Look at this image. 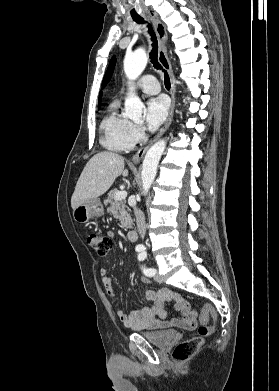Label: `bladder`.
<instances>
[{
  "label": "bladder",
  "mask_w": 279,
  "mask_h": 391,
  "mask_svg": "<svg viewBox=\"0 0 279 391\" xmlns=\"http://www.w3.org/2000/svg\"><path fill=\"white\" fill-rule=\"evenodd\" d=\"M141 335L155 346L166 347L178 337V332L174 330H160L142 332Z\"/></svg>",
  "instance_id": "bladder-1"
}]
</instances>
